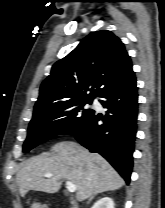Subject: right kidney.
Listing matches in <instances>:
<instances>
[{"label": "right kidney", "instance_id": "1", "mask_svg": "<svg viewBox=\"0 0 165 208\" xmlns=\"http://www.w3.org/2000/svg\"><path fill=\"white\" fill-rule=\"evenodd\" d=\"M92 208H114V201L110 197H104L97 201Z\"/></svg>", "mask_w": 165, "mask_h": 208}]
</instances>
